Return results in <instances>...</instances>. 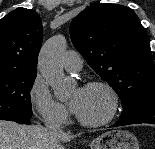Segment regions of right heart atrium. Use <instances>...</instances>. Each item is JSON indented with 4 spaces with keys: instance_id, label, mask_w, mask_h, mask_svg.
<instances>
[{
    "instance_id": "d8ad5b80",
    "label": "right heart atrium",
    "mask_w": 155,
    "mask_h": 149,
    "mask_svg": "<svg viewBox=\"0 0 155 149\" xmlns=\"http://www.w3.org/2000/svg\"><path fill=\"white\" fill-rule=\"evenodd\" d=\"M29 96L34 109L44 122L56 126L67 123V109L53 98L46 82L40 76L33 81Z\"/></svg>"
}]
</instances>
